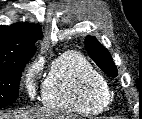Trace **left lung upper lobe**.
<instances>
[{
    "mask_svg": "<svg viewBox=\"0 0 142 119\" xmlns=\"http://www.w3.org/2000/svg\"><path fill=\"white\" fill-rule=\"evenodd\" d=\"M86 49L94 62L110 77L118 75L117 68L108 50L102 46L95 37L85 38Z\"/></svg>",
    "mask_w": 142,
    "mask_h": 119,
    "instance_id": "1",
    "label": "left lung upper lobe"
}]
</instances>
